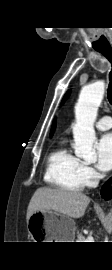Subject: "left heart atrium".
Here are the masks:
<instances>
[{"mask_svg": "<svg viewBox=\"0 0 112 270\" xmlns=\"http://www.w3.org/2000/svg\"><path fill=\"white\" fill-rule=\"evenodd\" d=\"M97 168L103 172L112 169V133H107L101 137L96 145Z\"/></svg>", "mask_w": 112, "mask_h": 270, "instance_id": "39dd6f15", "label": "left heart atrium"}]
</instances>
